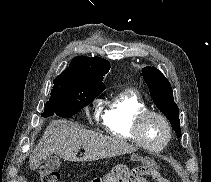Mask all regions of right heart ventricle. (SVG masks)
I'll return each instance as SVG.
<instances>
[{
	"instance_id": "obj_1",
	"label": "right heart ventricle",
	"mask_w": 211,
	"mask_h": 182,
	"mask_svg": "<svg viewBox=\"0 0 211 182\" xmlns=\"http://www.w3.org/2000/svg\"><path fill=\"white\" fill-rule=\"evenodd\" d=\"M146 109L147 105L138 93L133 90L122 91L108 103L101 117L102 126L117 139L136 142L133 135L134 121Z\"/></svg>"
}]
</instances>
